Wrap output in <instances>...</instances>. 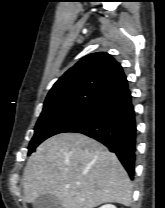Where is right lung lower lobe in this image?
<instances>
[{
    "label": "right lung lower lobe",
    "mask_w": 165,
    "mask_h": 208,
    "mask_svg": "<svg viewBox=\"0 0 165 208\" xmlns=\"http://www.w3.org/2000/svg\"><path fill=\"white\" fill-rule=\"evenodd\" d=\"M136 122L128 88L95 104L89 114L64 132L85 134L114 152L131 179L136 158Z\"/></svg>",
    "instance_id": "98d812e1"
}]
</instances>
